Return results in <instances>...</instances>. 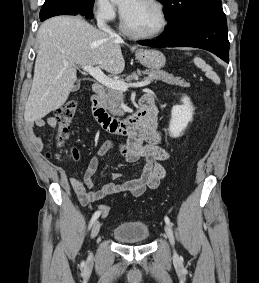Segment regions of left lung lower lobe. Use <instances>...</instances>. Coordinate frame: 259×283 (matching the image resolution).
<instances>
[{"label":"left lung lower lobe","mask_w":259,"mask_h":283,"mask_svg":"<svg viewBox=\"0 0 259 283\" xmlns=\"http://www.w3.org/2000/svg\"><path fill=\"white\" fill-rule=\"evenodd\" d=\"M138 43L150 47L200 48L229 63L227 20L222 5L207 8L184 23L166 29L157 40Z\"/></svg>","instance_id":"obj_1"}]
</instances>
